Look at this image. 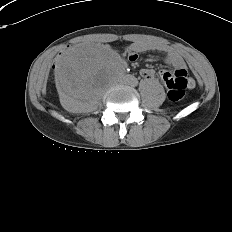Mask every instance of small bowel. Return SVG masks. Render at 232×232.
<instances>
[{"label":"small bowel","instance_id":"obj_1","mask_svg":"<svg viewBox=\"0 0 232 232\" xmlns=\"http://www.w3.org/2000/svg\"><path fill=\"white\" fill-rule=\"evenodd\" d=\"M128 51L131 55V60L133 62L136 61L137 57L135 54L142 53V52H148V51H162L166 53L165 61L167 64L171 65L176 75H185L187 76V67L186 64L181 56V54L173 48H170L168 46H165L163 44L157 43V42H150V41H144V40H137L132 42L128 46ZM140 74L145 79H151L154 76V71L151 69H142L140 71ZM173 76L169 71L167 70H161L160 71V78L165 82L166 79ZM191 80L190 88L195 86V82Z\"/></svg>","mask_w":232,"mask_h":232}]
</instances>
